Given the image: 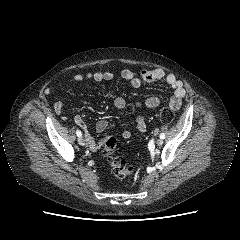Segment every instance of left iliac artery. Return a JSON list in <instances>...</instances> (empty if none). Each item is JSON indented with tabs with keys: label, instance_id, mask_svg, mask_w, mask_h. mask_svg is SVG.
Returning a JSON list of instances; mask_svg holds the SVG:
<instances>
[{
	"label": "left iliac artery",
	"instance_id": "1",
	"mask_svg": "<svg viewBox=\"0 0 240 240\" xmlns=\"http://www.w3.org/2000/svg\"><path fill=\"white\" fill-rule=\"evenodd\" d=\"M159 137H160V139H164L165 138V134L161 133Z\"/></svg>",
	"mask_w": 240,
	"mask_h": 240
}]
</instances>
